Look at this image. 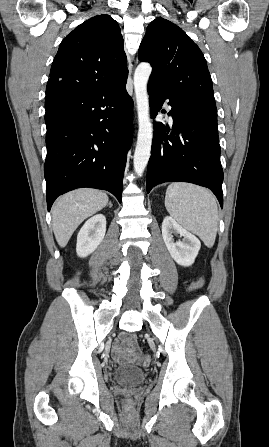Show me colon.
Listing matches in <instances>:
<instances>
[{"mask_svg": "<svg viewBox=\"0 0 269 447\" xmlns=\"http://www.w3.org/2000/svg\"><path fill=\"white\" fill-rule=\"evenodd\" d=\"M204 284V279L200 278L198 280H195L193 282H191V284L189 285V287L187 288V292L191 293L193 292L195 289L199 288L200 286H202ZM150 357L148 355H141L139 358V364L143 367H147L150 364ZM131 402V398L130 397H126L124 399V403L125 404H129Z\"/></svg>", "mask_w": 269, "mask_h": 447, "instance_id": "1", "label": "colon"}]
</instances>
